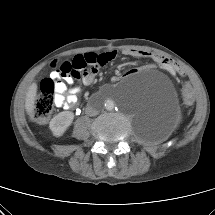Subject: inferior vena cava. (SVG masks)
I'll use <instances>...</instances> for the list:
<instances>
[{
	"instance_id": "obj_1",
	"label": "inferior vena cava",
	"mask_w": 215,
	"mask_h": 215,
	"mask_svg": "<svg viewBox=\"0 0 215 215\" xmlns=\"http://www.w3.org/2000/svg\"><path fill=\"white\" fill-rule=\"evenodd\" d=\"M85 113L89 116H95V115H98L99 111L92 105H88L85 109Z\"/></svg>"
}]
</instances>
